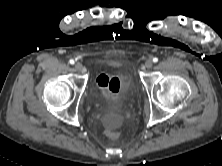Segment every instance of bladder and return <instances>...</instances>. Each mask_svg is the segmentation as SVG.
Wrapping results in <instances>:
<instances>
[{
	"instance_id": "31cf9c89",
	"label": "bladder",
	"mask_w": 222,
	"mask_h": 166,
	"mask_svg": "<svg viewBox=\"0 0 222 166\" xmlns=\"http://www.w3.org/2000/svg\"><path fill=\"white\" fill-rule=\"evenodd\" d=\"M134 91H135V87L132 86V87H131V92H134Z\"/></svg>"
}]
</instances>
